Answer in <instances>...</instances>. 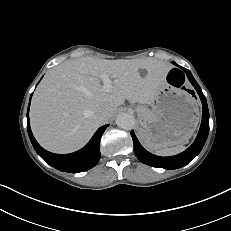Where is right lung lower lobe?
<instances>
[{
	"instance_id": "right-lung-lower-lobe-1",
	"label": "right lung lower lobe",
	"mask_w": 231,
	"mask_h": 231,
	"mask_svg": "<svg viewBox=\"0 0 231 231\" xmlns=\"http://www.w3.org/2000/svg\"><path fill=\"white\" fill-rule=\"evenodd\" d=\"M29 106L27 112V130L29 138L36 152L49 165L63 172L78 173L89 170L98 163L100 159V140L108 125L100 127L88 144L79 151L64 155L54 154L43 149L35 140L29 124Z\"/></svg>"
}]
</instances>
